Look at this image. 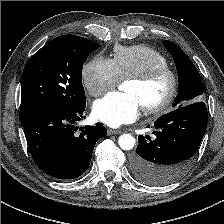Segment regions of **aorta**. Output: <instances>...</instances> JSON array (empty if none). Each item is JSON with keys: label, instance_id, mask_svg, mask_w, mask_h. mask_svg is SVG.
<instances>
[{"label": "aorta", "instance_id": "762f6f07", "mask_svg": "<svg viewBox=\"0 0 224 224\" xmlns=\"http://www.w3.org/2000/svg\"><path fill=\"white\" fill-rule=\"evenodd\" d=\"M118 143L121 149L131 150L135 145V139L130 134H123L119 137Z\"/></svg>", "mask_w": 224, "mask_h": 224}]
</instances>
